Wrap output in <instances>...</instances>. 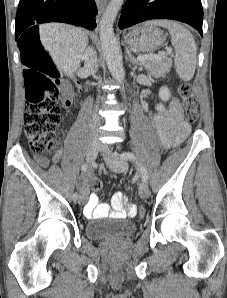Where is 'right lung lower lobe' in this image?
I'll list each match as a JSON object with an SVG mask.
<instances>
[{
	"label": "right lung lower lobe",
	"mask_w": 227,
	"mask_h": 298,
	"mask_svg": "<svg viewBox=\"0 0 227 298\" xmlns=\"http://www.w3.org/2000/svg\"><path fill=\"white\" fill-rule=\"evenodd\" d=\"M96 0H20L16 14L15 39L24 60V44L31 37L39 39V26L63 22L93 30L96 27Z\"/></svg>",
	"instance_id": "1"
}]
</instances>
